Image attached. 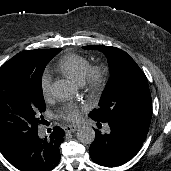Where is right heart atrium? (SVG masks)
I'll list each match as a JSON object with an SVG mask.
<instances>
[{"instance_id":"d8ad5b80","label":"right heart atrium","mask_w":171,"mask_h":171,"mask_svg":"<svg viewBox=\"0 0 171 171\" xmlns=\"http://www.w3.org/2000/svg\"><path fill=\"white\" fill-rule=\"evenodd\" d=\"M51 75L48 71H45L40 80L41 92L45 99H48L51 95Z\"/></svg>"}]
</instances>
